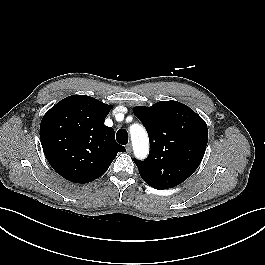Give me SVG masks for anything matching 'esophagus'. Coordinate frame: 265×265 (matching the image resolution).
I'll return each instance as SVG.
<instances>
[{
	"mask_svg": "<svg viewBox=\"0 0 265 265\" xmlns=\"http://www.w3.org/2000/svg\"><path fill=\"white\" fill-rule=\"evenodd\" d=\"M126 151H127V153H131V151H132V145L131 144L126 145Z\"/></svg>",
	"mask_w": 265,
	"mask_h": 265,
	"instance_id": "1",
	"label": "esophagus"
}]
</instances>
